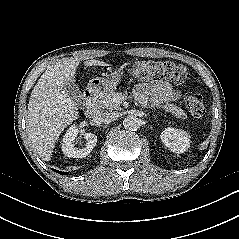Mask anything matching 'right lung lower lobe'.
I'll return each instance as SVG.
<instances>
[{"label":"right lung lower lobe","mask_w":239,"mask_h":239,"mask_svg":"<svg viewBox=\"0 0 239 239\" xmlns=\"http://www.w3.org/2000/svg\"><path fill=\"white\" fill-rule=\"evenodd\" d=\"M55 172L60 173V174H66V173L58 171V170H55Z\"/></svg>","instance_id":"obj_1"}]
</instances>
